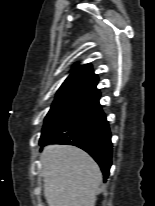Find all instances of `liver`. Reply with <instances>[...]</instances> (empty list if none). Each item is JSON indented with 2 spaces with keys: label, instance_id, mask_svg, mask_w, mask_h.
Wrapping results in <instances>:
<instances>
[{
  "label": "liver",
  "instance_id": "obj_1",
  "mask_svg": "<svg viewBox=\"0 0 155 206\" xmlns=\"http://www.w3.org/2000/svg\"><path fill=\"white\" fill-rule=\"evenodd\" d=\"M40 159L49 206H95L103 176L90 155L74 146L49 145Z\"/></svg>",
  "mask_w": 155,
  "mask_h": 206
}]
</instances>
